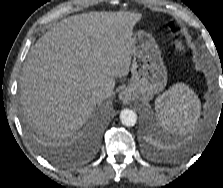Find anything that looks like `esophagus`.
Here are the masks:
<instances>
[{
    "instance_id": "obj_1",
    "label": "esophagus",
    "mask_w": 223,
    "mask_h": 188,
    "mask_svg": "<svg viewBox=\"0 0 223 188\" xmlns=\"http://www.w3.org/2000/svg\"><path fill=\"white\" fill-rule=\"evenodd\" d=\"M119 99L123 104H129L132 101V93L130 89L125 88L120 91Z\"/></svg>"
}]
</instances>
